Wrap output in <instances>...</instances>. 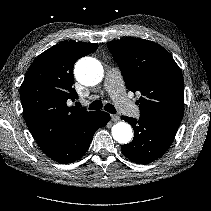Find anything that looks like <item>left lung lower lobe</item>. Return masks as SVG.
I'll list each match as a JSON object with an SVG mask.
<instances>
[{
	"label": "left lung lower lobe",
	"mask_w": 211,
	"mask_h": 211,
	"mask_svg": "<svg viewBox=\"0 0 211 211\" xmlns=\"http://www.w3.org/2000/svg\"><path fill=\"white\" fill-rule=\"evenodd\" d=\"M134 129L133 141L122 145L123 154L139 164L150 163L161 157L170 147L181 120L164 117L135 118L122 116Z\"/></svg>",
	"instance_id": "0a47b994"
}]
</instances>
